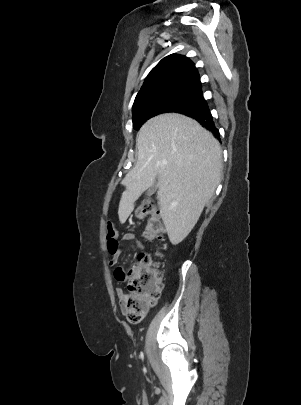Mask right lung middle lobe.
<instances>
[{
  "label": "right lung middle lobe",
  "mask_w": 301,
  "mask_h": 405,
  "mask_svg": "<svg viewBox=\"0 0 301 405\" xmlns=\"http://www.w3.org/2000/svg\"><path fill=\"white\" fill-rule=\"evenodd\" d=\"M204 107H207V103L201 91L186 88L166 90L147 96L133 106V127L140 129L148 119L158 114Z\"/></svg>",
  "instance_id": "right-lung-middle-lobe-1"
}]
</instances>
